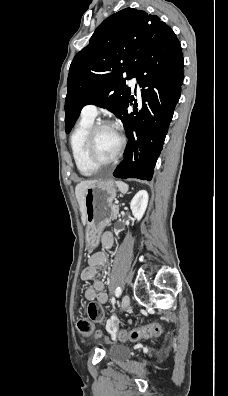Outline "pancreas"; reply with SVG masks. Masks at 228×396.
Here are the masks:
<instances>
[{
    "mask_svg": "<svg viewBox=\"0 0 228 396\" xmlns=\"http://www.w3.org/2000/svg\"><path fill=\"white\" fill-rule=\"evenodd\" d=\"M112 210H113V216H112V219H113V220H116V219H117V216H116V214L118 213V206H117V205H115V204H113Z\"/></svg>",
    "mask_w": 228,
    "mask_h": 396,
    "instance_id": "pancreas-1",
    "label": "pancreas"
}]
</instances>
